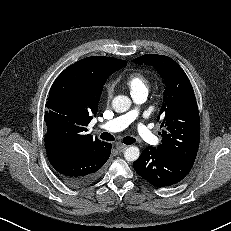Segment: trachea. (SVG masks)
<instances>
[{
  "label": "trachea",
  "mask_w": 231,
  "mask_h": 231,
  "mask_svg": "<svg viewBox=\"0 0 231 231\" xmlns=\"http://www.w3.org/2000/svg\"><path fill=\"white\" fill-rule=\"evenodd\" d=\"M100 138H101L102 140H106V141H114V140H115L114 136L111 135V134L108 133V132H103V133H101V134H100ZM135 142H136V139L133 138V137L126 136V137L123 138V143L126 144V145H131V144H133V143H135Z\"/></svg>",
  "instance_id": "trachea-1"
}]
</instances>
